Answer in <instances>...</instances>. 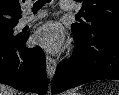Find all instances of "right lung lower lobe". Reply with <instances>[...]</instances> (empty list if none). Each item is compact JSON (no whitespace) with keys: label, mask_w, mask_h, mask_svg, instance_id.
<instances>
[{"label":"right lung lower lobe","mask_w":119,"mask_h":95,"mask_svg":"<svg viewBox=\"0 0 119 95\" xmlns=\"http://www.w3.org/2000/svg\"><path fill=\"white\" fill-rule=\"evenodd\" d=\"M28 37L29 34H19L0 38V83L45 95V55L40 47H25Z\"/></svg>","instance_id":"right-lung-lower-lobe-1"}]
</instances>
